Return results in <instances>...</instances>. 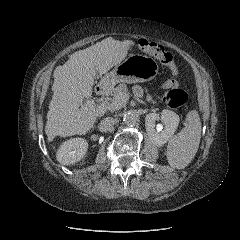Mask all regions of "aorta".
<instances>
[{
	"label": "aorta",
	"instance_id": "obj_1",
	"mask_svg": "<svg viewBox=\"0 0 240 240\" xmlns=\"http://www.w3.org/2000/svg\"><path fill=\"white\" fill-rule=\"evenodd\" d=\"M123 121L127 126H134L137 122V117L131 112L123 114Z\"/></svg>",
	"mask_w": 240,
	"mask_h": 240
}]
</instances>
